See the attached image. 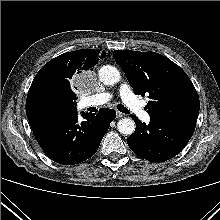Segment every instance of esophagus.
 <instances>
[{
    "label": "esophagus",
    "instance_id": "1",
    "mask_svg": "<svg viewBox=\"0 0 220 220\" xmlns=\"http://www.w3.org/2000/svg\"><path fill=\"white\" fill-rule=\"evenodd\" d=\"M116 115H117V117H119V118L124 116V114H123L122 112H120V111H117V112H116Z\"/></svg>",
    "mask_w": 220,
    "mask_h": 220
}]
</instances>
